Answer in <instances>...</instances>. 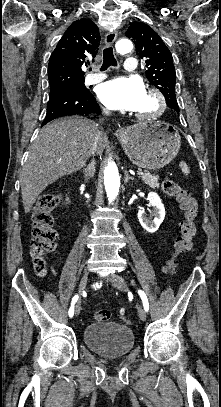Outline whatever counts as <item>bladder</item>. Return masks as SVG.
Segmentation results:
<instances>
[{"instance_id":"obj_1","label":"bladder","mask_w":221,"mask_h":407,"mask_svg":"<svg viewBox=\"0 0 221 407\" xmlns=\"http://www.w3.org/2000/svg\"><path fill=\"white\" fill-rule=\"evenodd\" d=\"M83 339L91 351L105 358H115L132 350L135 337L129 326L100 322L86 326Z\"/></svg>"}]
</instances>
